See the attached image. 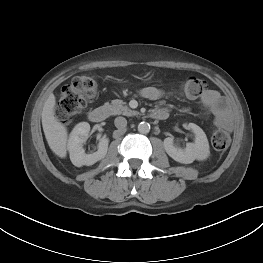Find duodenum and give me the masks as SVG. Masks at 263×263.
<instances>
[{
  "mask_svg": "<svg viewBox=\"0 0 263 263\" xmlns=\"http://www.w3.org/2000/svg\"><path fill=\"white\" fill-rule=\"evenodd\" d=\"M107 115L108 110L106 107L103 106L96 107L88 113L90 121L94 123L103 122L107 118ZM152 117L158 120H164L168 117V112L164 109H159L152 113Z\"/></svg>",
  "mask_w": 263,
  "mask_h": 263,
  "instance_id": "duodenum-1",
  "label": "duodenum"
}]
</instances>
